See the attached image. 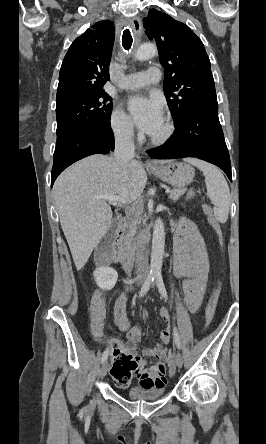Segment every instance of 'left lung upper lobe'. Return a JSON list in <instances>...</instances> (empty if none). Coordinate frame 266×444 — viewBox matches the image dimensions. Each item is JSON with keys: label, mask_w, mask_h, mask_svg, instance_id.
<instances>
[{"label": "left lung upper lobe", "mask_w": 266, "mask_h": 444, "mask_svg": "<svg viewBox=\"0 0 266 444\" xmlns=\"http://www.w3.org/2000/svg\"><path fill=\"white\" fill-rule=\"evenodd\" d=\"M143 22L165 68L164 94L173 120L197 106L218 105L209 57L193 31L156 9Z\"/></svg>", "instance_id": "obj_1"}]
</instances>
